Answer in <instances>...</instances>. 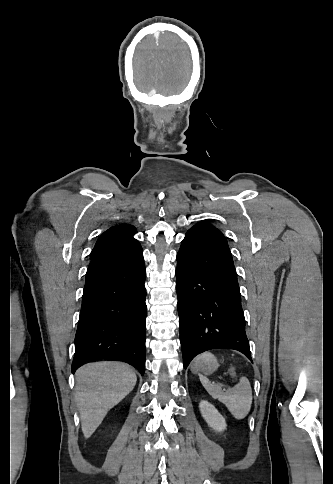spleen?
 Instances as JSON below:
<instances>
[{
  "label": "spleen",
  "instance_id": "obj_1",
  "mask_svg": "<svg viewBox=\"0 0 333 484\" xmlns=\"http://www.w3.org/2000/svg\"><path fill=\"white\" fill-rule=\"evenodd\" d=\"M200 381L209 395L223 403L232 416L238 420L244 419L252 405V390L246 377H241L239 383L225 392L221 384H211L207 377L199 375Z\"/></svg>",
  "mask_w": 333,
  "mask_h": 484
}]
</instances>
